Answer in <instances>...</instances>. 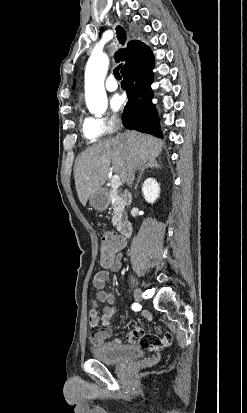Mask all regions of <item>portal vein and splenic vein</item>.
<instances>
[{
    "label": "portal vein and splenic vein",
    "mask_w": 247,
    "mask_h": 413,
    "mask_svg": "<svg viewBox=\"0 0 247 413\" xmlns=\"http://www.w3.org/2000/svg\"><path fill=\"white\" fill-rule=\"evenodd\" d=\"M121 182H120V176H118V174H113V176H111V186L113 188V190H117V188H119Z\"/></svg>",
    "instance_id": "18ae733b"
}]
</instances>
